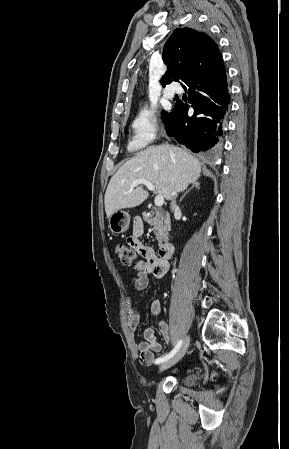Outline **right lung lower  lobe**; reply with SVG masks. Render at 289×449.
I'll return each instance as SVG.
<instances>
[{
	"label": "right lung lower lobe",
	"instance_id": "1",
	"mask_svg": "<svg viewBox=\"0 0 289 449\" xmlns=\"http://www.w3.org/2000/svg\"><path fill=\"white\" fill-rule=\"evenodd\" d=\"M187 86L193 116L188 117L189 105L177 101L166 125L167 133L193 152L215 151L221 147L230 103L225 66Z\"/></svg>",
	"mask_w": 289,
	"mask_h": 449
}]
</instances>
